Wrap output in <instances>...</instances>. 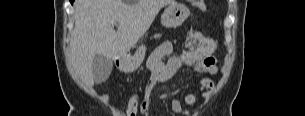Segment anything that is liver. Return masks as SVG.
<instances>
[{"instance_id":"1","label":"liver","mask_w":305,"mask_h":116,"mask_svg":"<svg viewBox=\"0 0 305 116\" xmlns=\"http://www.w3.org/2000/svg\"><path fill=\"white\" fill-rule=\"evenodd\" d=\"M174 0H76L70 63L81 82L92 87L95 55L124 57ZM118 23L117 31L114 24Z\"/></svg>"}]
</instances>
